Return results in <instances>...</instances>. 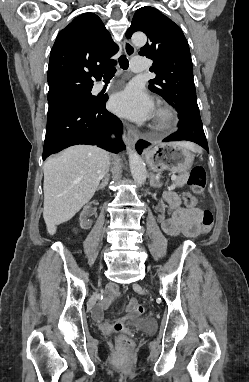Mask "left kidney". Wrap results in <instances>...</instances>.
<instances>
[{
  "label": "left kidney",
  "mask_w": 249,
  "mask_h": 382,
  "mask_svg": "<svg viewBox=\"0 0 249 382\" xmlns=\"http://www.w3.org/2000/svg\"><path fill=\"white\" fill-rule=\"evenodd\" d=\"M154 208H164L165 207V202L164 201H154Z\"/></svg>",
  "instance_id": "1"
}]
</instances>
